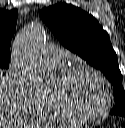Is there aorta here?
<instances>
[{"mask_svg": "<svg viewBox=\"0 0 125 128\" xmlns=\"http://www.w3.org/2000/svg\"><path fill=\"white\" fill-rule=\"evenodd\" d=\"M45 39L43 28L34 25L22 30L13 43L15 64L36 87L43 90L50 89L54 84L53 74L40 54Z\"/></svg>", "mask_w": 125, "mask_h": 128, "instance_id": "obj_1", "label": "aorta"}]
</instances>
